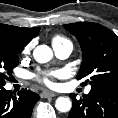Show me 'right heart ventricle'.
<instances>
[{
  "instance_id": "right-heart-ventricle-1",
  "label": "right heart ventricle",
  "mask_w": 118,
  "mask_h": 118,
  "mask_svg": "<svg viewBox=\"0 0 118 118\" xmlns=\"http://www.w3.org/2000/svg\"><path fill=\"white\" fill-rule=\"evenodd\" d=\"M66 42H67V40L62 36H54L53 39H52L53 46L61 45V44H64Z\"/></svg>"
}]
</instances>
